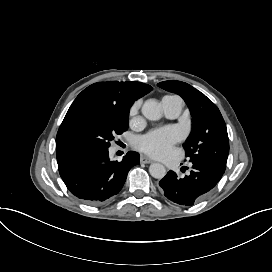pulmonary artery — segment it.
I'll return each instance as SVG.
<instances>
[{
	"mask_svg": "<svg viewBox=\"0 0 272 272\" xmlns=\"http://www.w3.org/2000/svg\"><path fill=\"white\" fill-rule=\"evenodd\" d=\"M161 105L164 107L165 115L170 119L177 118L183 109V101L178 96H166L162 99Z\"/></svg>",
	"mask_w": 272,
	"mask_h": 272,
	"instance_id": "1",
	"label": "pulmonary artery"
}]
</instances>
